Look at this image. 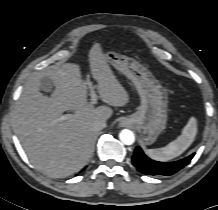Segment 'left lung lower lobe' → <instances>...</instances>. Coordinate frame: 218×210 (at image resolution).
I'll list each match as a JSON object with an SVG mask.
<instances>
[{
    "instance_id": "1",
    "label": "left lung lower lobe",
    "mask_w": 218,
    "mask_h": 210,
    "mask_svg": "<svg viewBox=\"0 0 218 210\" xmlns=\"http://www.w3.org/2000/svg\"><path fill=\"white\" fill-rule=\"evenodd\" d=\"M194 155L195 153L184 159L170 163L157 162L148 158L138 146L136 147L132 156V162L137 170L143 174L167 176L172 175L185 167L191 161Z\"/></svg>"
}]
</instances>
